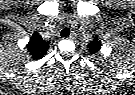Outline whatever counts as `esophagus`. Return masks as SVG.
<instances>
[{
    "label": "esophagus",
    "instance_id": "esophagus-1",
    "mask_svg": "<svg viewBox=\"0 0 135 95\" xmlns=\"http://www.w3.org/2000/svg\"><path fill=\"white\" fill-rule=\"evenodd\" d=\"M77 38V35L75 34V33H71L68 37H67V39H70V40H74V39H76Z\"/></svg>",
    "mask_w": 135,
    "mask_h": 95
}]
</instances>
